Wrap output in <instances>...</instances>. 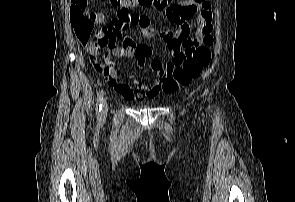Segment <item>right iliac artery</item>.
I'll return each instance as SVG.
<instances>
[{"mask_svg":"<svg viewBox=\"0 0 295 202\" xmlns=\"http://www.w3.org/2000/svg\"><path fill=\"white\" fill-rule=\"evenodd\" d=\"M103 97H104V91L101 90V91H99V93L97 95V100H96V116H97V118H101V115H102Z\"/></svg>","mask_w":295,"mask_h":202,"instance_id":"1","label":"right iliac artery"}]
</instances>
